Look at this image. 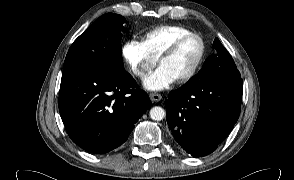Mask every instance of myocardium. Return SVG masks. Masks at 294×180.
<instances>
[{
	"label": "myocardium",
	"instance_id": "f54148a6",
	"mask_svg": "<svg viewBox=\"0 0 294 180\" xmlns=\"http://www.w3.org/2000/svg\"><path fill=\"white\" fill-rule=\"evenodd\" d=\"M190 38H196L199 41V44H200L199 56H198L195 64L191 68V70L185 76L176 80V82L178 84L188 83L189 81H191L195 77V75L199 71V69L205 59V55H206V42H205L204 38L199 33H196V32H189L187 34L181 35L178 38H176L158 58V63L160 64L162 60L172 56L177 51V49L185 41H187Z\"/></svg>",
	"mask_w": 294,
	"mask_h": 180
}]
</instances>
